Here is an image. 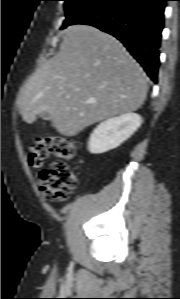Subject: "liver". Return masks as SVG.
<instances>
[{"mask_svg": "<svg viewBox=\"0 0 180 299\" xmlns=\"http://www.w3.org/2000/svg\"><path fill=\"white\" fill-rule=\"evenodd\" d=\"M148 85L140 65L113 36L87 25L69 26L60 50L20 94L23 120L48 112L68 137L101 120L139 109Z\"/></svg>", "mask_w": 180, "mask_h": 299, "instance_id": "liver-1", "label": "liver"}]
</instances>
